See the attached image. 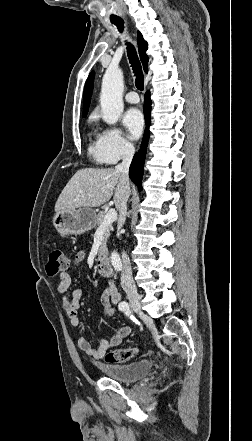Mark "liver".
<instances>
[{
  "label": "liver",
  "instance_id": "1",
  "mask_svg": "<svg viewBox=\"0 0 252 441\" xmlns=\"http://www.w3.org/2000/svg\"><path fill=\"white\" fill-rule=\"evenodd\" d=\"M114 191L113 201L118 206L128 189L121 175L113 168H83L78 170L59 195L55 211H74L78 208H94L108 202Z\"/></svg>",
  "mask_w": 252,
  "mask_h": 441
}]
</instances>
